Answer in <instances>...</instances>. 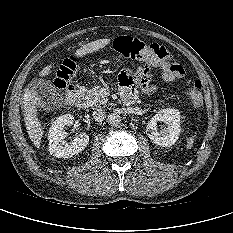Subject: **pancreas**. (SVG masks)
<instances>
[{"instance_id": "pancreas-1", "label": "pancreas", "mask_w": 233, "mask_h": 233, "mask_svg": "<svg viewBox=\"0 0 233 233\" xmlns=\"http://www.w3.org/2000/svg\"><path fill=\"white\" fill-rule=\"evenodd\" d=\"M79 92L84 107H94L107 103V99L100 96L98 86L91 89L80 87Z\"/></svg>"}]
</instances>
